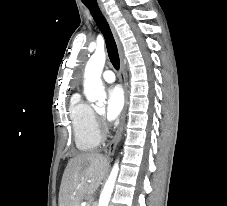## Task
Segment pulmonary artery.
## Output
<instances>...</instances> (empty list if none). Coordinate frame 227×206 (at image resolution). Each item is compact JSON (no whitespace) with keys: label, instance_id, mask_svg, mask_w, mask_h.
I'll use <instances>...</instances> for the list:
<instances>
[{"label":"pulmonary artery","instance_id":"obj_1","mask_svg":"<svg viewBox=\"0 0 227 206\" xmlns=\"http://www.w3.org/2000/svg\"><path fill=\"white\" fill-rule=\"evenodd\" d=\"M102 78L107 83H113L115 81V74L111 70H106L103 72Z\"/></svg>","mask_w":227,"mask_h":206}]
</instances>
